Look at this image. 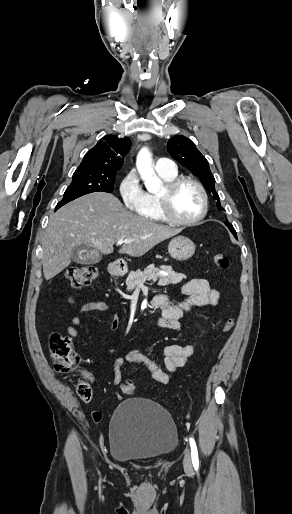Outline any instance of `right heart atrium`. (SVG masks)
I'll return each instance as SVG.
<instances>
[{
  "mask_svg": "<svg viewBox=\"0 0 292 514\" xmlns=\"http://www.w3.org/2000/svg\"><path fill=\"white\" fill-rule=\"evenodd\" d=\"M118 195L120 200H124V209H137L138 211L143 206L146 192L135 171H128L120 179Z\"/></svg>",
  "mask_w": 292,
  "mask_h": 514,
  "instance_id": "right-heart-atrium-1",
  "label": "right heart atrium"
}]
</instances>
